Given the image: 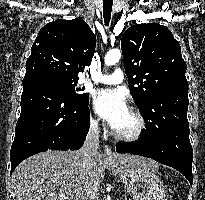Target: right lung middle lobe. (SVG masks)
Wrapping results in <instances>:
<instances>
[{"instance_id":"dd1d6c3e","label":"right lung middle lobe","mask_w":205,"mask_h":200,"mask_svg":"<svg viewBox=\"0 0 205 200\" xmlns=\"http://www.w3.org/2000/svg\"><path fill=\"white\" fill-rule=\"evenodd\" d=\"M32 79H39L47 82L54 83L58 85L61 89L66 92L70 96V98L80 101V102H85L89 100V94L87 93H76V91H80L81 89L75 88L77 85L78 80L75 79H70L66 78L60 75H54V74H45V75H40L37 77H34Z\"/></svg>"}]
</instances>
